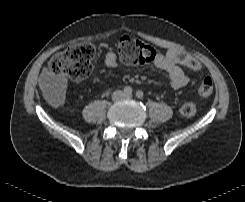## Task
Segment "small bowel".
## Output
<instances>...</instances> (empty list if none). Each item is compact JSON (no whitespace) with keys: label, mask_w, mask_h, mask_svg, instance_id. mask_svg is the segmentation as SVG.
Masks as SVG:
<instances>
[{"label":"small bowel","mask_w":245,"mask_h":202,"mask_svg":"<svg viewBox=\"0 0 245 202\" xmlns=\"http://www.w3.org/2000/svg\"><path fill=\"white\" fill-rule=\"evenodd\" d=\"M179 51L176 49H169L165 54L156 53L155 59L152 61L154 67L165 71L174 89H181L188 83V77L183 69L176 61V55ZM118 63L117 54L109 51L104 56V64L107 68H114ZM66 86V81L63 78L56 77L51 74L47 69L42 73V89L44 91L62 88Z\"/></svg>","instance_id":"1"}]
</instances>
